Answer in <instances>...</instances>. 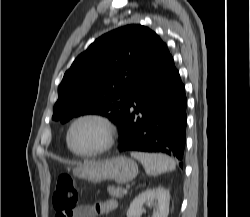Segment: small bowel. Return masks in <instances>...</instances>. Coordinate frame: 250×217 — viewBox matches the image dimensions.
<instances>
[{"label": "small bowel", "instance_id": "1", "mask_svg": "<svg viewBox=\"0 0 250 217\" xmlns=\"http://www.w3.org/2000/svg\"><path fill=\"white\" fill-rule=\"evenodd\" d=\"M117 207L115 199L99 202L95 205H80L72 213L71 217H97L107 215Z\"/></svg>", "mask_w": 250, "mask_h": 217}]
</instances>
